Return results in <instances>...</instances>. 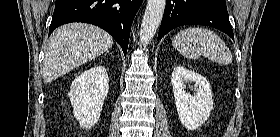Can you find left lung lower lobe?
Wrapping results in <instances>:
<instances>
[{"label": "left lung lower lobe", "mask_w": 280, "mask_h": 137, "mask_svg": "<svg viewBox=\"0 0 280 137\" xmlns=\"http://www.w3.org/2000/svg\"><path fill=\"white\" fill-rule=\"evenodd\" d=\"M187 24L211 26L234 39L225 0H167L158 40L172 29Z\"/></svg>", "instance_id": "left-lung-lower-lobe-1"}]
</instances>
